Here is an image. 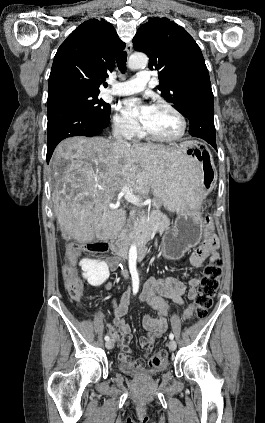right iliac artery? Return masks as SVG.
I'll use <instances>...</instances> for the list:
<instances>
[{"mask_svg": "<svg viewBox=\"0 0 265 423\" xmlns=\"http://www.w3.org/2000/svg\"><path fill=\"white\" fill-rule=\"evenodd\" d=\"M130 272L132 276L133 294H136L139 289V277L135 265L130 266ZM104 339L108 341L110 337L106 335Z\"/></svg>", "mask_w": 265, "mask_h": 423, "instance_id": "1", "label": "right iliac artery"}]
</instances>
